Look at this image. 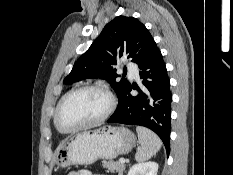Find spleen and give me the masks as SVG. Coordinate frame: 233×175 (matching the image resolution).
Here are the masks:
<instances>
[{
    "label": "spleen",
    "mask_w": 233,
    "mask_h": 175,
    "mask_svg": "<svg viewBox=\"0 0 233 175\" xmlns=\"http://www.w3.org/2000/svg\"><path fill=\"white\" fill-rule=\"evenodd\" d=\"M136 132L140 147L135 155V160L137 162H144L160 150L162 142L154 132L145 127H136Z\"/></svg>",
    "instance_id": "1"
}]
</instances>
